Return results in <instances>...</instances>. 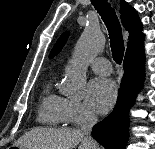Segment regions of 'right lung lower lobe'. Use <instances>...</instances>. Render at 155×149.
Returning a JSON list of instances; mask_svg holds the SVG:
<instances>
[{"mask_svg":"<svg viewBox=\"0 0 155 149\" xmlns=\"http://www.w3.org/2000/svg\"><path fill=\"white\" fill-rule=\"evenodd\" d=\"M145 55L141 58H125L124 77L121 81L117 103L112 113L92 129L93 138L106 149H125L129 135L128 111L142 88Z\"/></svg>","mask_w":155,"mask_h":149,"instance_id":"right-lung-lower-lobe-1","label":"right lung lower lobe"}]
</instances>
